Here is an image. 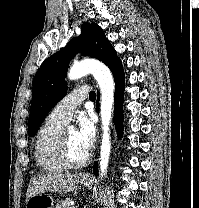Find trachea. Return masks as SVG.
Returning a JSON list of instances; mask_svg holds the SVG:
<instances>
[{
	"label": "trachea",
	"mask_w": 199,
	"mask_h": 208,
	"mask_svg": "<svg viewBox=\"0 0 199 208\" xmlns=\"http://www.w3.org/2000/svg\"><path fill=\"white\" fill-rule=\"evenodd\" d=\"M89 98L91 100H95L96 99V93L94 91H91L90 94H89Z\"/></svg>",
	"instance_id": "trachea-1"
}]
</instances>
